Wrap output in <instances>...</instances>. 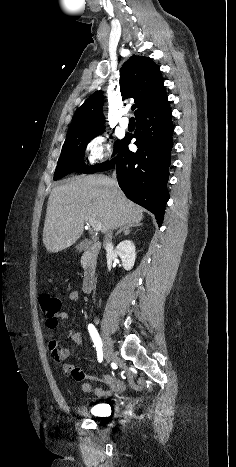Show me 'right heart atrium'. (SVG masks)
Returning <instances> with one entry per match:
<instances>
[{"mask_svg":"<svg viewBox=\"0 0 236 467\" xmlns=\"http://www.w3.org/2000/svg\"><path fill=\"white\" fill-rule=\"evenodd\" d=\"M85 151L89 164L97 166L110 157L112 152L111 140L103 134H96L86 142Z\"/></svg>","mask_w":236,"mask_h":467,"instance_id":"d8ad5b80","label":"right heart atrium"}]
</instances>
